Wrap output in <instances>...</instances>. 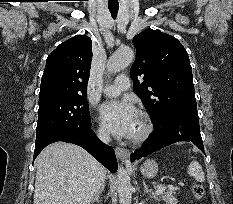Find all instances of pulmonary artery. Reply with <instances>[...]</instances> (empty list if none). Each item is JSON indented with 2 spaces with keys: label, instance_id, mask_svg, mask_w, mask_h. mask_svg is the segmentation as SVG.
<instances>
[{
  "label": "pulmonary artery",
  "instance_id": "1",
  "mask_svg": "<svg viewBox=\"0 0 233 204\" xmlns=\"http://www.w3.org/2000/svg\"><path fill=\"white\" fill-rule=\"evenodd\" d=\"M129 86V78L126 75H120L115 79L114 83L106 85L103 88V93L106 96H117L122 91L127 90Z\"/></svg>",
  "mask_w": 233,
  "mask_h": 204
}]
</instances>
